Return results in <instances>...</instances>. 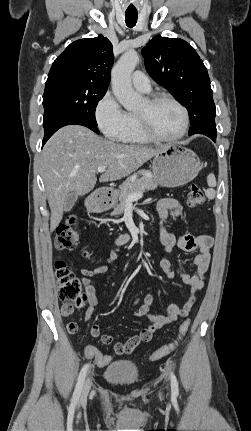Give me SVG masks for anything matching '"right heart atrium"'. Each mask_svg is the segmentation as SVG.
Wrapping results in <instances>:
<instances>
[{"label": "right heart atrium", "mask_w": 251, "mask_h": 431, "mask_svg": "<svg viewBox=\"0 0 251 431\" xmlns=\"http://www.w3.org/2000/svg\"><path fill=\"white\" fill-rule=\"evenodd\" d=\"M94 115L98 127L108 138L119 139L128 129L129 114L109 91L97 102Z\"/></svg>", "instance_id": "d8ad5b80"}]
</instances>
